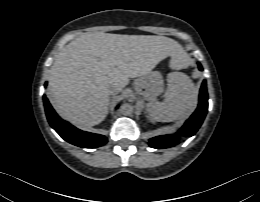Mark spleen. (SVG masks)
I'll return each instance as SVG.
<instances>
[{
  "instance_id": "3e777b00",
  "label": "spleen",
  "mask_w": 260,
  "mask_h": 202,
  "mask_svg": "<svg viewBox=\"0 0 260 202\" xmlns=\"http://www.w3.org/2000/svg\"><path fill=\"white\" fill-rule=\"evenodd\" d=\"M197 100V89L192 80L181 72L168 75V87L163 101L147 104V111L153 120L172 122L183 117L193 108Z\"/></svg>"
}]
</instances>
